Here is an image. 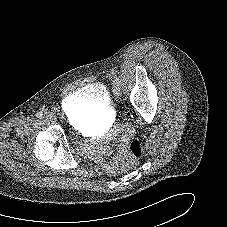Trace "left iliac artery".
I'll list each match as a JSON object with an SVG mask.
<instances>
[{"label": "left iliac artery", "instance_id": "1", "mask_svg": "<svg viewBox=\"0 0 227 227\" xmlns=\"http://www.w3.org/2000/svg\"><path fill=\"white\" fill-rule=\"evenodd\" d=\"M113 82H114V84H116V85H119V84H120V81H119V79H118L117 77H114V78H113Z\"/></svg>", "mask_w": 227, "mask_h": 227}]
</instances>
